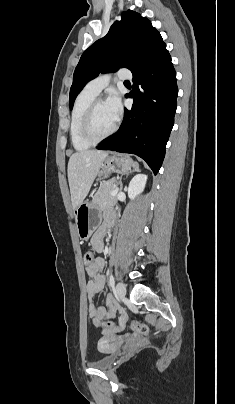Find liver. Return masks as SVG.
Wrapping results in <instances>:
<instances>
[{"instance_id": "1", "label": "liver", "mask_w": 235, "mask_h": 404, "mask_svg": "<svg viewBox=\"0 0 235 404\" xmlns=\"http://www.w3.org/2000/svg\"><path fill=\"white\" fill-rule=\"evenodd\" d=\"M107 156V152L99 150L80 151L70 156L67 174L73 210L83 203Z\"/></svg>"}]
</instances>
